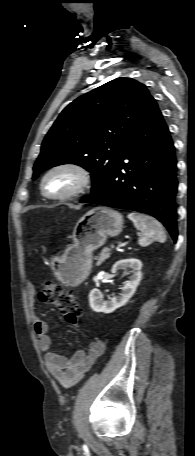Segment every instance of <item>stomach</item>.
I'll list each match as a JSON object with an SVG mask.
<instances>
[{
    "label": "stomach",
    "mask_w": 195,
    "mask_h": 456,
    "mask_svg": "<svg viewBox=\"0 0 195 456\" xmlns=\"http://www.w3.org/2000/svg\"><path fill=\"white\" fill-rule=\"evenodd\" d=\"M122 227L123 217L114 209L96 207L84 214L74 226L73 244L60 257L52 258L56 277L70 286L83 282L92 268L93 251L108 236H117Z\"/></svg>",
    "instance_id": "obj_1"
}]
</instances>
